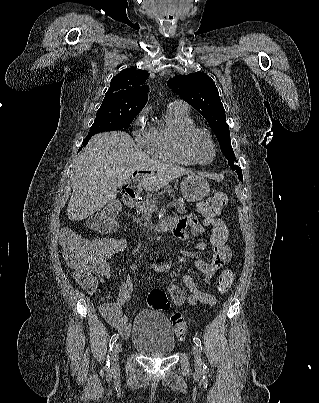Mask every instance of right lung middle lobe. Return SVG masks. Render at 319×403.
Returning a JSON list of instances; mask_svg holds the SVG:
<instances>
[{
    "label": "right lung middle lobe",
    "mask_w": 319,
    "mask_h": 403,
    "mask_svg": "<svg viewBox=\"0 0 319 403\" xmlns=\"http://www.w3.org/2000/svg\"><path fill=\"white\" fill-rule=\"evenodd\" d=\"M140 111L121 104H102L97 111L90 133L128 129Z\"/></svg>",
    "instance_id": "1"
}]
</instances>
